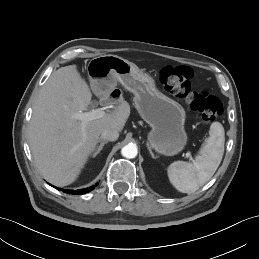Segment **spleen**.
<instances>
[{
  "mask_svg": "<svg viewBox=\"0 0 259 259\" xmlns=\"http://www.w3.org/2000/svg\"><path fill=\"white\" fill-rule=\"evenodd\" d=\"M225 144V132L221 123L210 126L209 137L193 162L175 161L168 166L171 184L182 193L191 194L206 184L219 167Z\"/></svg>",
  "mask_w": 259,
  "mask_h": 259,
  "instance_id": "3e777b00",
  "label": "spleen"
}]
</instances>
